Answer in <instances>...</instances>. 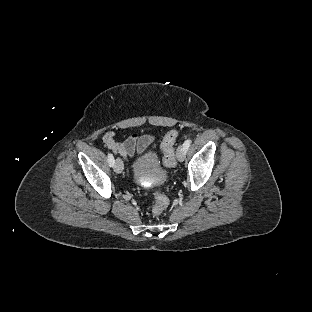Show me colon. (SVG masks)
<instances>
[{"instance_id":"5ec220e1","label":"colon","mask_w":312,"mask_h":312,"mask_svg":"<svg viewBox=\"0 0 312 312\" xmlns=\"http://www.w3.org/2000/svg\"><path fill=\"white\" fill-rule=\"evenodd\" d=\"M179 136V132L176 129L168 130L161 141V150L163 153L162 163L165 168H172L176 166V158L174 146ZM155 199L154 211L163 210L168 204V198L161 192H155L153 195Z\"/></svg>"}]
</instances>
